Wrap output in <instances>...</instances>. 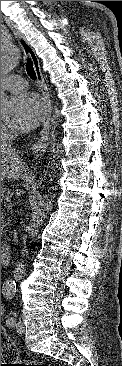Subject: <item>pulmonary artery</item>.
I'll return each instance as SVG.
<instances>
[{"instance_id":"e3ab8cb5","label":"pulmonary artery","mask_w":122,"mask_h":366,"mask_svg":"<svg viewBox=\"0 0 122 366\" xmlns=\"http://www.w3.org/2000/svg\"><path fill=\"white\" fill-rule=\"evenodd\" d=\"M1 88L9 92L20 93L27 88V82L20 76L11 75L1 81Z\"/></svg>"}]
</instances>
